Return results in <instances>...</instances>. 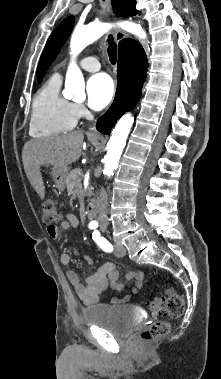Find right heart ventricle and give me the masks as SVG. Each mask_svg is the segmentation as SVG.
<instances>
[{
  "instance_id": "1",
  "label": "right heart ventricle",
  "mask_w": 221,
  "mask_h": 379,
  "mask_svg": "<svg viewBox=\"0 0 221 379\" xmlns=\"http://www.w3.org/2000/svg\"><path fill=\"white\" fill-rule=\"evenodd\" d=\"M61 78L52 76L35 95L29 121L33 137H50L72 130L77 122L73 103L60 93Z\"/></svg>"
}]
</instances>
